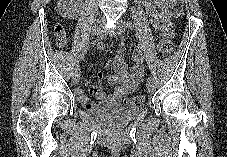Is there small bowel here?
I'll use <instances>...</instances> for the list:
<instances>
[{
	"mask_svg": "<svg viewBox=\"0 0 227 157\" xmlns=\"http://www.w3.org/2000/svg\"><path fill=\"white\" fill-rule=\"evenodd\" d=\"M145 8L151 18V23L161 35H172V27L170 25V4L171 0H144ZM132 58L134 65L129 71L125 62L123 53H118L114 59V73L107 78V82L116 85L112 95L107 96L102 89L101 84H93L89 91L97 97L98 102L89 101L82 88H76L75 94L78 102L88 111L102 109L109 106L118 105L124 97L133 92L144 75L143 53L140 49H136ZM101 77V73L99 74Z\"/></svg>",
	"mask_w": 227,
	"mask_h": 157,
	"instance_id": "obj_1",
	"label": "small bowel"
}]
</instances>
